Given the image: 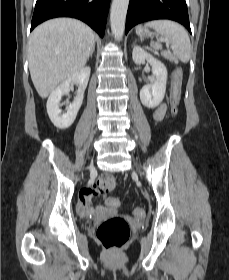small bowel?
<instances>
[{
  "label": "small bowel",
  "instance_id": "c3829d8e",
  "mask_svg": "<svg viewBox=\"0 0 229 280\" xmlns=\"http://www.w3.org/2000/svg\"><path fill=\"white\" fill-rule=\"evenodd\" d=\"M167 106L166 104H160L153 111V119L155 121H160L166 114ZM109 189H101L97 184L85 189L79 200L78 212L83 217L94 216L101 217L107 214H114L117 210V205L114 204V200L117 199L113 196H108ZM102 194L105 199L104 206L92 207V197Z\"/></svg>",
  "mask_w": 229,
  "mask_h": 280
}]
</instances>
